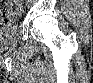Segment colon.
Here are the masks:
<instances>
[{
    "label": "colon",
    "mask_w": 93,
    "mask_h": 83,
    "mask_svg": "<svg viewBox=\"0 0 93 83\" xmlns=\"http://www.w3.org/2000/svg\"><path fill=\"white\" fill-rule=\"evenodd\" d=\"M16 9L13 7H3L0 12V20L3 25H9L13 21Z\"/></svg>",
    "instance_id": "colon-1"
}]
</instances>
